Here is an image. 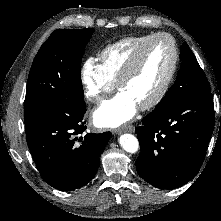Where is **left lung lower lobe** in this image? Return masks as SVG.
I'll return each mask as SVG.
<instances>
[{
  "label": "left lung lower lobe",
  "mask_w": 221,
  "mask_h": 221,
  "mask_svg": "<svg viewBox=\"0 0 221 221\" xmlns=\"http://www.w3.org/2000/svg\"><path fill=\"white\" fill-rule=\"evenodd\" d=\"M215 123L211 93L157 105L137 127L138 174L154 187L174 189L193 179L204 161Z\"/></svg>",
  "instance_id": "0a47b994"
}]
</instances>
